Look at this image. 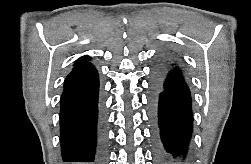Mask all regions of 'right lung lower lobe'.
Masks as SVG:
<instances>
[{"label":"right lung lower lobe","mask_w":251,"mask_h":164,"mask_svg":"<svg viewBox=\"0 0 251 164\" xmlns=\"http://www.w3.org/2000/svg\"><path fill=\"white\" fill-rule=\"evenodd\" d=\"M99 78L88 63L74 67L60 100L62 158L65 162L105 161L104 120L98 106Z\"/></svg>","instance_id":"98d812e1"}]
</instances>
